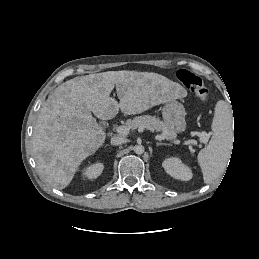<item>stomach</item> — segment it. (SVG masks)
Returning a JSON list of instances; mask_svg holds the SVG:
<instances>
[{
	"label": "stomach",
	"mask_w": 259,
	"mask_h": 259,
	"mask_svg": "<svg viewBox=\"0 0 259 259\" xmlns=\"http://www.w3.org/2000/svg\"><path fill=\"white\" fill-rule=\"evenodd\" d=\"M186 112L183 105L176 100L165 103L162 109L164 122L171 127L175 133H182L186 129Z\"/></svg>",
	"instance_id": "obj_1"
}]
</instances>
